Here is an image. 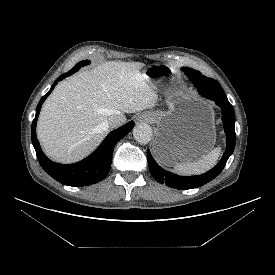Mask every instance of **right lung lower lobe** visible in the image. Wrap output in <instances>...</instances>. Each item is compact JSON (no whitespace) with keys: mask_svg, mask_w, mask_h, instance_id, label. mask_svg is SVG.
Here are the masks:
<instances>
[{"mask_svg":"<svg viewBox=\"0 0 275 275\" xmlns=\"http://www.w3.org/2000/svg\"><path fill=\"white\" fill-rule=\"evenodd\" d=\"M75 72L76 71H69L59 76L51 86L49 92L41 98L36 108V115L32 123L31 137L38 161L42 168L51 177L64 185L82 187L97 183L106 177L111 167L114 146L120 139H122L132 130L134 122L130 121L124 126L110 132L101 145L90 156L83 159L82 161H79L75 164L63 165L52 162L50 159H48L42 152L39 141L36 138V123L39 112L43 102L52 92L57 82Z\"/></svg>","mask_w":275,"mask_h":275,"instance_id":"1","label":"right lung lower lobe"}]
</instances>
